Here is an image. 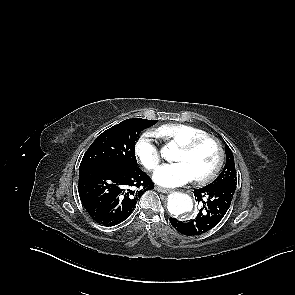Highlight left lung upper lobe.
Segmentation results:
<instances>
[{"label": "left lung upper lobe", "instance_id": "left-lung-upper-lobe-1", "mask_svg": "<svg viewBox=\"0 0 295 295\" xmlns=\"http://www.w3.org/2000/svg\"><path fill=\"white\" fill-rule=\"evenodd\" d=\"M226 151V164L220 175L209 185H223L232 184L236 186V171L234 157L231 149L225 145Z\"/></svg>", "mask_w": 295, "mask_h": 295}]
</instances>
